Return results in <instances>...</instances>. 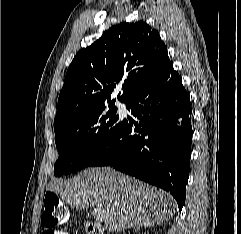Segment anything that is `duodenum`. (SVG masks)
<instances>
[{
	"label": "duodenum",
	"mask_w": 241,
	"mask_h": 234,
	"mask_svg": "<svg viewBox=\"0 0 241 234\" xmlns=\"http://www.w3.org/2000/svg\"><path fill=\"white\" fill-rule=\"evenodd\" d=\"M86 230L88 234H105L103 228L93 222H88L86 224Z\"/></svg>",
	"instance_id": "1"
}]
</instances>
